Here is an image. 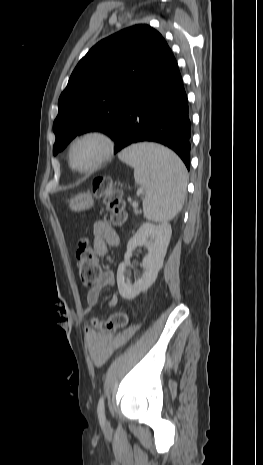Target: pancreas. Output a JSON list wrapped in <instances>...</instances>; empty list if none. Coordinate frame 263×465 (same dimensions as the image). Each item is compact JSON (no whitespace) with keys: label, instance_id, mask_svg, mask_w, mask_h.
Returning <instances> with one entry per match:
<instances>
[{"label":"pancreas","instance_id":"obj_1","mask_svg":"<svg viewBox=\"0 0 263 465\" xmlns=\"http://www.w3.org/2000/svg\"><path fill=\"white\" fill-rule=\"evenodd\" d=\"M134 212H135V214H139V213H141V211H140V210H138V209H137V207H134Z\"/></svg>","mask_w":263,"mask_h":465}]
</instances>
